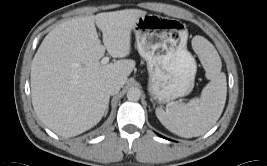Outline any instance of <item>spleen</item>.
Listing matches in <instances>:
<instances>
[{
  "instance_id": "spleen-1",
  "label": "spleen",
  "mask_w": 267,
  "mask_h": 166,
  "mask_svg": "<svg viewBox=\"0 0 267 166\" xmlns=\"http://www.w3.org/2000/svg\"><path fill=\"white\" fill-rule=\"evenodd\" d=\"M206 76L211 81L199 98L188 103H176L156 109L159 121L171 132L184 138L197 137L206 133L220 118L226 102V76L221 72V59L216 49L202 39L197 48Z\"/></svg>"
}]
</instances>
